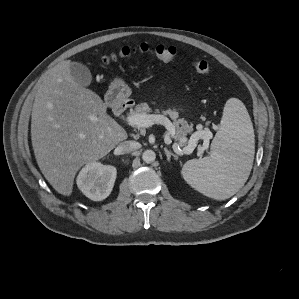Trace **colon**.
<instances>
[{
	"label": "colon",
	"mask_w": 299,
	"mask_h": 299,
	"mask_svg": "<svg viewBox=\"0 0 299 299\" xmlns=\"http://www.w3.org/2000/svg\"><path fill=\"white\" fill-rule=\"evenodd\" d=\"M139 54L153 55L155 58H157L160 61L170 62L176 56V48L172 46H165V45L151 47L146 43H142L137 46H125L121 48L117 53L104 56L102 58V62L104 64H110L120 59H126ZM192 66L195 69V71L201 75H208L211 72L210 64L206 60L200 57H196L193 60Z\"/></svg>",
	"instance_id": "1"
}]
</instances>
